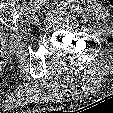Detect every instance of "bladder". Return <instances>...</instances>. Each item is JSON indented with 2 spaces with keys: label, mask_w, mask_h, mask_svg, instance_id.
<instances>
[{
  "label": "bladder",
  "mask_w": 113,
  "mask_h": 113,
  "mask_svg": "<svg viewBox=\"0 0 113 113\" xmlns=\"http://www.w3.org/2000/svg\"><path fill=\"white\" fill-rule=\"evenodd\" d=\"M7 38H8L7 32L5 31L3 26L0 25V45L5 43L7 41Z\"/></svg>",
  "instance_id": "obj_1"
}]
</instances>
